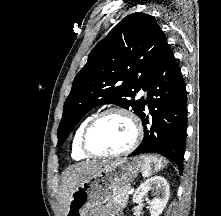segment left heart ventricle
<instances>
[{"label": "left heart ventricle", "mask_w": 221, "mask_h": 216, "mask_svg": "<svg viewBox=\"0 0 221 216\" xmlns=\"http://www.w3.org/2000/svg\"><path fill=\"white\" fill-rule=\"evenodd\" d=\"M133 128L127 118L110 114L98 121L88 135L89 148L97 153L118 152L132 141Z\"/></svg>", "instance_id": "left-heart-ventricle-1"}]
</instances>
